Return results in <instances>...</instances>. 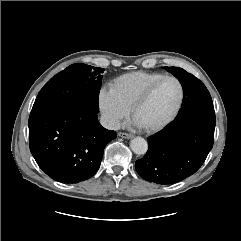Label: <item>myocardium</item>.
<instances>
[{
  "instance_id": "obj_1",
  "label": "myocardium",
  "mask_w": 241,
  "mask_h": 241,
  "mask_svg": "<svg viewBox=\"0 0 241 241\" xmlns=\"http://www.w3.org/2000/svg\"><path fill=\"white\" fill-rule=\"evenodd\" d=\"M166 80H173V81H175L178 84L179 91H180L178 102H177L175 108L173 109V111L162 122H160V123H158V124H156L154 126L143 127V129L146 132H148V133H154V132L162 130L163 128H165L168 124H170L176 118V116L178 115L179 111L181 110V107H182L183 101H184V97H185V90H184L183 83L175 76L165 75V76L159 78L158 80H156L155 82H153L151 85H149L144 90V92L134 101V103L132 104V106L130 108L131 114L134 117L135 112L137 111V109L139 107H141L144 103H146L147 100L152 95V93L154 92V90L162 82H164Z\"/></svg>"
}]
</instances>
